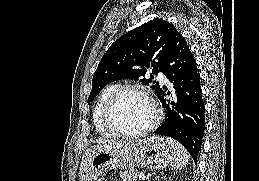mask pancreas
Instances as JSON below:
<instances>
[{
    "label": "pancreas",
    "mask_w": 259,
    "mask_h": 181,
    "mask_svg": "<svg viewBox=\"0 0 259 181\" xmlns=\"http://www.w3.org/2000/svg\"><path fill=\"white\" fill-rule=\"evenodd\" d=\"M119 175L123 181H136L139 176V172L136 170H127L120 172Z\"/></svg>",
    "instance_id": "obj_1"
}]
</instances>
